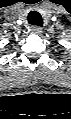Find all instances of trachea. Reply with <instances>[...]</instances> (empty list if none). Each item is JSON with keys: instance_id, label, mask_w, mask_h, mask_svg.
I'll list each match as a JSON object with an SVG mask.
<instances>
[{"instance_id": "obj_1", "label": "trachea", "mask_w": 71, "mask_h": 119, "mask_svg": "<svg viewBox=\"0 0 71 119\" xmlns=\"http://www.w3.org/2000/svg\"><path fill=\"white\" fill-rule=\"evenodd\" d=\"M27 18H28V23L31 25H35V26H42L43 25L42 16L37 11H31L28 14Z\"/></svg>"}]
</instances>
